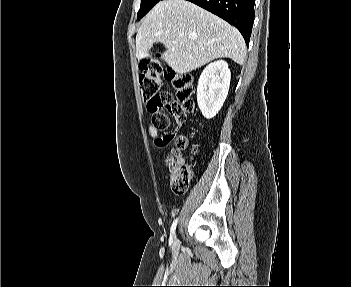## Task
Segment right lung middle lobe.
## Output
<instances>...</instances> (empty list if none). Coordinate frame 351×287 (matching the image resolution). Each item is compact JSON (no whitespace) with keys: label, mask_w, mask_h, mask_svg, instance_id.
Masks as SVG:
<instances>
[{"label":"right lung middle lobe","mask_w":351,"mask_h":287,"mask_svg":"<svg viewBox=\"0 0 351 287\" xmlns=\"http://www.w3.org/2000/svg\"><path fill=\"white\" fill-rule=\"evenodd\" d=\"M160 0H141V6L137 14V19L146 15Z\"/></svg>","instance_id":"1"}]
</instances>
